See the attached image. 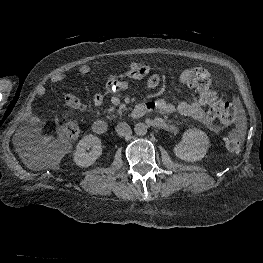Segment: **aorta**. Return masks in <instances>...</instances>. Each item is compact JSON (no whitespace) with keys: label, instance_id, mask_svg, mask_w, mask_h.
Instances as JSON below:
<instances>
[{"label":"aorta","instance_id":"762f6f07","mask_svg":"<svg viewBox=\"0 0 263 263\" xmlns=\"http://www.w3.org/2000/svg\"><path fill=\"white\" fill-rule=\"evenodd\" d=\"M148 126L145 123H137L134 127V131L137 135L143 136L147 133Z\"/></svg>","mask_w":263,"mask_h":263}]
</instances>
